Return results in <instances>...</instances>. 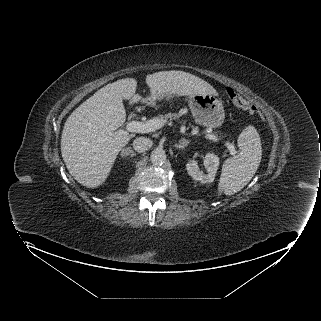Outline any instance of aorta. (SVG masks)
Segmentation results:
<instances>
[{
    "mask_svg": "<svg viewBox=\"0 0 321 321\" xmlns=\"http://www.w3.org/2000/svg\"><path fill=\"white\" fill-rule=\"evenodd\" d=\"M150 160L154 165H162L166 161V153L163 149H156L152 151Z\"/></svg>",
    "mask_w": 321,
    "mask_h": 321,
    "instance_id": "obj_1",
    "label": "aorta"
}]
</instances>
